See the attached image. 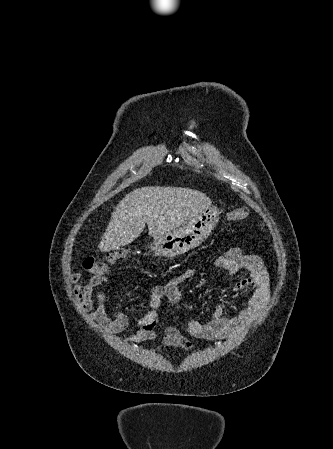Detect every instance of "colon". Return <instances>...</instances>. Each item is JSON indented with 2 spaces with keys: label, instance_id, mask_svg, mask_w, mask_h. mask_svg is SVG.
Here are the masks:
<instances>
[{
  "label": "colon",
  "instance_id": "colon-1",
  "mask_svg": "<svg viewBox=\"0 0 333 449\" xmlns=\"http://www.w3.org/2000/svg\"><path fill=\"white\" fill-rule=\"evenodd\" d=\"M248 216V210L244 207L228 213L229 221H241ZM128 255L126 249H118L97 256H89L83 261V268L91 274H104L108 268Z\"/></svg>",
  "mask_w": 333,
  "mask_h": 449
}]
</instances>
